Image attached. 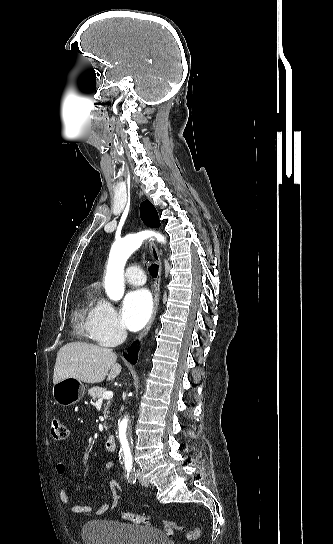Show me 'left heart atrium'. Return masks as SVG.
<instances>
[{
  "mask_svg": "<svg viewBox=\"0 0 333 544\" xmlns=\"http://www.w3.org/2000/svg\"><path fill=\"white\" fill-rule=\"evenodd\" d=\"M152 312V299L146 289L130 292L124 299L122 318L125 326L131 331L141 329L149 320Z\"/></svg>",
  "mask_w": 333,
  "mask_h": 544,
  "instance_id": "39dd6f15",
  "label": "left heart atrium"
}]
</instances>
